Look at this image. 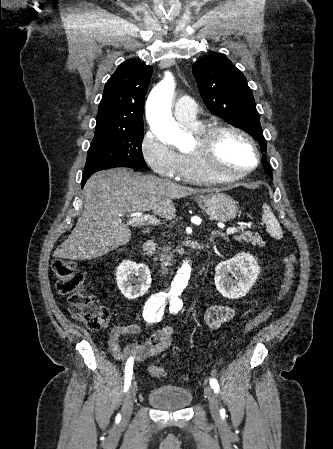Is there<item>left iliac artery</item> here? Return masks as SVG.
<instances>
[{
  "label": "left iliac artery",
  "mask_w": 333,
  "mask_h": 449,
  "mask_svg": "<svg viewBox=\"0 0 333 449\" xmlns=\"http://www.w3.org/2000/svg\"><path fill=\"white\" fill-rule=\"evenodd\" d=\"M182 308V301L177 298H172L170 301V307L169 310L172 314H176L179 312V310ZM210 386L214 389L215 393H219V384L215 378L210 379ZM220 413H224V410L221 409Z\"/></svg>",
  "instance_id": "left-iliac-artery-1"
}]
</instances>
